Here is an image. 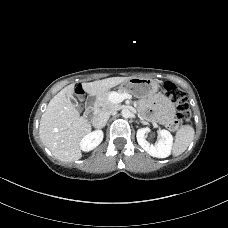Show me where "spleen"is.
Returning a JSON list of instances; mask_svg holds the SVG:
<instances>
[{
    "mask_svg": "<svg viewBox=\"0 0 228 228\" xmlns=\"http://www.w3.org/2000/svg\"><path fill=\"white\" fill-rule=\"evenodd\" d=\"M194 128L190 125L180 127L176 132L175 142L173 146V155L179 156L188 148L194 139Z\"/></svg>",
    "mask_w": 228,
    "mask_h": 228,
    "instance_id": "obj_1",
    "label": "spleen"
}]
</instances>
